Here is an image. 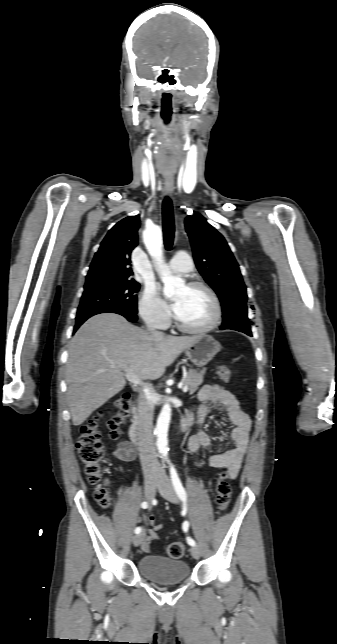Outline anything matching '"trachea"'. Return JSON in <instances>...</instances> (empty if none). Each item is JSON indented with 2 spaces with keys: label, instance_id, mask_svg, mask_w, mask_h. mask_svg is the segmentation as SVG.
Returning <instances> with one entry per match:
<instances>
[{
  "label": "trachea",
  "instance_id": "1",
  "mask_svg": "<svg viewBox=\"0 0 337 644\" xmlns=\"http://www.w3.org/2000/svg\"><path fill=\"white\" fill-rule=\"evenodd\" d=\"M174 232L175 226L172 202L169 197H165L163 200V237L166 249H170L173 245Z\"/></svg>",
  "mask_w": 337,
  "mask_h": 644
}]
</instances>
